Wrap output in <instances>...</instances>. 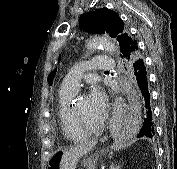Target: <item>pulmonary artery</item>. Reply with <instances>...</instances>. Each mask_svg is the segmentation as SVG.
<instances>
[{
    "mask_svg": "<svg viewBox=\"0 0 177 169\" xmlns=\"http://www.w3.org/2000/svg\"><path fill=\"white\" fill-rule=\"evenodd\" d=\"M114 66V61L108 56H99L76 64L62 81L61 89L78 91L81 75L84 70L103 71Z\"/></svg>",
    "mask_w": 177,
    "mask_h": 169,
    "instance_id": "1",
    "label": "pulmonary artery"
}]
</instances>
